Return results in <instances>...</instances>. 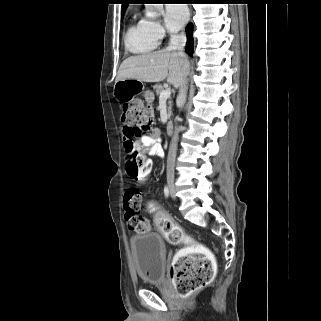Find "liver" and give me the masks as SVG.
<instances>
[{"label":"liver","instance_id":"6515ba94","mask_svg":"<svg viewBox=\"0 0 321 321\" xmlns=\"http://www.w3.org/2000/svg\"><path fill=\"white\" fill-rule=\"evenodd\" d=\"M188 71L187 57L167 48L125 59L118 70L116 82L135 79L155 83L167 79L168 83L177 88Z\"/></svg>","mask_w":321,"mask_h":321}]
</instances>
